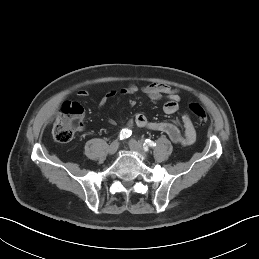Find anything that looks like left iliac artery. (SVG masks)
Here are the masks:
<instances>
[{"mask_svg": "<svg viewBox=\"0 0 259 259\" xmlns=\"http://www.w3.org/2000/svg\"><path fill=\"white\" fill-rule=\"evenodd\" d=\"M143 148H144V150L145 151H148V148L149 147H154V146H156V143L155 142H153V141H151L150 139H146L145 140V142H144V144H143Z\"/></svg>", "mask_w": 259, "mask_h": 259, "instance_id": "obj_1", "label": "left iliac artery"}]
</instances>
